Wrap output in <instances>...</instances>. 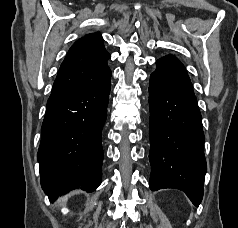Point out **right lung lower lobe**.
Wrapping results in <instances>:
<instances>
[{"label": "right lung lower lobe", "mask_w": 238, "mask_h": 228, "mask_svg": "<svg viewBox=\"0 0 238 228\" xmlns=\"http://www.w3.org/2000/svg\"><path fill=\"white\" fill-rule=\"evenodd\" d=\"M110 77L107 68L97 82L48 99L37 157L41 186L51 202L76 188L92 192L101 183Z\"/></svg>", "instance_id": "right-lung-lower-lobe-1"}]
</instances>
